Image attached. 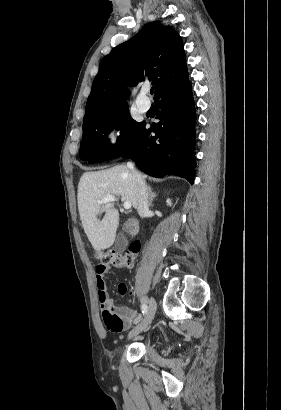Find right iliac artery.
<instances>
[{
	"mask_svg": "<svg viewBox=\"0 0 281 410\" xmlns=\"http://www.w3.org/2000/svg\"><path fill=\"white\" fill-rule=\"evenodd\" d=\"M141 310H142V313H143V314H146V313H147L148 306H147L146 303H142V305H141Z\"/></svg>",
	"mask_w": 281,
	"mask_h": 410,
	"instance_id": "82829eb1",
	"label": "right iliac artery"
}]
</instances>
